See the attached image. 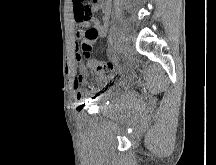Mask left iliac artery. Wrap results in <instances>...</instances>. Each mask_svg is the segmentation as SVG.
<instances>
[{
  "mask_svg": "<svg viewBox=\"0 0 216 165\" xmlns=\"http://www.w3.org/2000/svg\"><path fill=\"white\" fill-rule=\"evenodd\" d=\"M115 34H116V28L115 25L113 26V29L111 31V35L109 37V43L112 44L113 41L115 40Z\"/></svg>",
  "mask_w": 216,
  "mask_h": 165,
  "instance_id": "44dca946",
  "label": "left iliac artery"
}]
</instances>
